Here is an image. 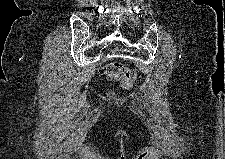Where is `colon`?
I'll use <instances>...</instances> for the list:
<instances>
[{
	"label": "colon",
	"mask_w": 225,
	"mask_h": 159,
	"mask_svg": "<svg viewBox=\"0 0 225 159\" xmlns=\"http://www.w3.org/2000/svg\"><path fill=\"white\" fill-rule=\"evenodd\" d=\"M105 75L108 79L118 80L124 88H131L136 81L135 71L121 62L107 64Z\"/></svg>",
	"instance_id": "5ec220e1"
}]
</instances>
